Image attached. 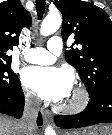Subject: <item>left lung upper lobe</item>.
<instances>
[{
    "mask_svg": "<svg viewBox=\"0 0 112 135\" xmlns=\"http://www.w3.org/2000/svg\"><path fill=\"white\" fill-rule=\"evenodd\" d=\"M63 15L62 37H74L65 59L76 68L90 96L112 88V22L108 14L81 0L55 1Z\"/></svg>",
    "mask_w": 112,
    "mask_h": 135,
    "instance_id": "obj_1",
    "label": "left lung upper lobe"
}]
</instances>
